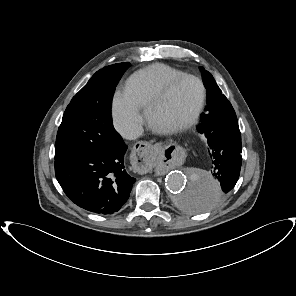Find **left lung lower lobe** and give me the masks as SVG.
<instances>
[{"label":"left lung lower lobe","instance_id":"0a47b994","mask_svg":"<svg viewBox=\"0 0 296 296\" xmlns=\"http://www.w3.org/2000/svg\"><path fill=\"white\" fill-rule=\"evenodd\" d=\"M197 130L204 138L210 155L211 172L218 178L221 187L200 188L193 184L185 199H181L184 207L193 212L208 209L232 190L239 178L242 152L237 117L226 97L202 113Z\"/></svg>","mask_w":296,"mask_h":296}]
</instances>
